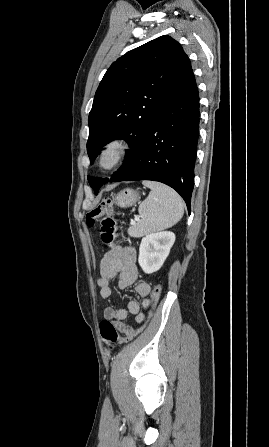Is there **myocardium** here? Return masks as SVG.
I'll return each mask as SVG.
<instances>
[{
  "label": "myocardium",
  "mask_w": 269,
  "mask_h": 447,
  "mask_svg": "<svg viewBox=\"0 0 269 447\" xmlns=\"http://www.w3.org/2000/svg\"><path fill=\"white\" fill-rule=\"evenodd\" d=\"M131 143L124 138L109 140L101 149L98 166L103 171H111L122 164L131 149Z\"/></svg>",
  "instance_id": "myocardium-1"
}]
</instances>
